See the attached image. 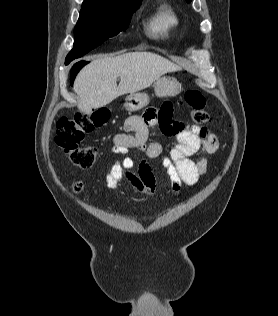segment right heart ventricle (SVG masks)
Returning <instances> with one entry per match:
<instances>
[{"instance_id": "1", "label": "right heart ventricle", "mask_w": 278, "mask_h": 316, "mask_svg": "<svg viewBox=\"0 0 278 316\" xmlns=\"http://www.w3.org/2000/svg\"><path fill=\"white\" fill-rule=\"evenodd\" d=\"M178 26V16L168 4H160L145 20L146 32L152 38H166Z\"/></svg>"}]
</instances>
